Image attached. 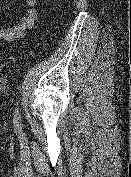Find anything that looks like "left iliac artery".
<instances>
[{"instance_id": "1", "label": "left iliac artery", "mask_w": 131, "mask_h": 177, "mask_svg": "<svg viewBox=\"0 0 131 177\" xmlns=\"http://www.w3.org/2000/svg\"><path fill=\"white\" fill-rule=\"evenodd\" d=\"M14 121H15L14 123H16L17 125H20L21 123V116L18 107H16L14 111Z\"/></svg>"}]
</instances>
